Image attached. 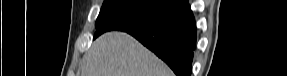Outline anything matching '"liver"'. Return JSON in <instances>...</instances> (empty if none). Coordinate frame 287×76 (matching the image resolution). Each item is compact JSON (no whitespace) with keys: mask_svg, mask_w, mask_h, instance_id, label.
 I'll return each mask as SVG.
<instances>
[{"mask_svg":"<svg viewBox=\"0 0 287 76\" xmlns=\"http://www.w3.org/2000/svg\"><path fill=\"white\" fill-rule=\"evenodd\" d=\"M81 76H173L168 66L132 36L109 32L83 55Z\"/></svg>","mask_w":287,"mask_h":76,"instance_id":"1","label":"liver"}]
</instances>
